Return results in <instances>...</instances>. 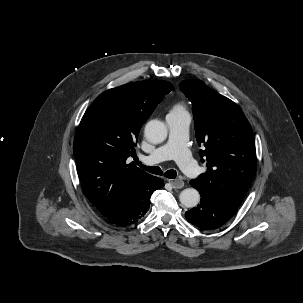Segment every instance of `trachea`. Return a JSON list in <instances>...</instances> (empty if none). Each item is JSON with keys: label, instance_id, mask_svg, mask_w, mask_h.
Segmentation results:
<instances>
[{"label": "trachea", "instance_id": "1", "mask_svg": "<svg viewBox=\"0 0 303 303\" xmlns=\"http://www.w3.org/2000/svg\"><path fill=\"white\" fill-rule=\"evenodd\" d=\"M135 165H138L140 168L144 169L145 171L156 174V175H163V171L158 166H146L143 165L138 159L135 161ZM164 176L169 179H175L177 176V172L173 169L168 170L164 173Z\"/></svg>", "mask_w": 303, "mask_h": 303}]
</instances>
